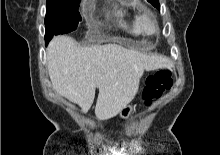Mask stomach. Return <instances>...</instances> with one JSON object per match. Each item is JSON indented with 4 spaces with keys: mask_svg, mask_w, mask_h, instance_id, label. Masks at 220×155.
<instances>
[{
    "mask_svg": "<svg viewBox=\"0 0 220 155\" xmlns=\"http://www.w3.org/2000/svg\"><path fill=\"white\" fill-rule=\"evenodd\" d=\"M135 111V106L127 105L121 112L120 117L123 119L129 118L132 113Z\"/></svg>",
    "mask_w": 220,
    "mask_h": 155,
    "instance_id": "1",
    "label": "stomach"
}]
</instances>
